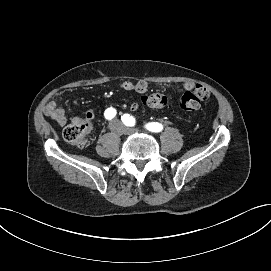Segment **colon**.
Wrapping results in <instances>:
<instances>
[{"mask_svg": "<svg viewBox=\"0 0 271 271\" xmlns=\"http://www.w3.org/2000/svg\"><path fill=\"white\" fill-rule=\"evenodd\" d=\"M210 97L208 89L196 85L192 90L185 92L180 98V106L187 111H195L200 107L202 101ZM143 103L150 108H164L170 103V97L164 93L153 92L143 97ZM90 125L84 119L72 120L64 129V139L78 148H85L88 145V131Z\"/></svg>", "mask_w": 271, "mask_h": 271, "instance_id": "5ec220e1", "label": "colon"}]
</instances>
